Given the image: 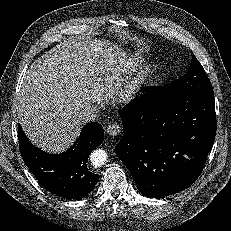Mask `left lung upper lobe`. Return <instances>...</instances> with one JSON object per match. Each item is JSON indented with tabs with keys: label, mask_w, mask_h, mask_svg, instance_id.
I'll list each match as a JSON object with an SVG mask.
<instances>
[{
	"label": "left lung upper lobe",
	"mask_w": 231,
	"mask_h": 231,
	"mask_svg": "<svg viewBox=\"0 0 231 231\" xmlns=\"http://www.w3.org/2000/svg\"><path fill=\"white\" fill-rule=\"evenodd\" d=\"M192 92H213L211 82L195 56L192 57L190 69L185 75L173 83L154 88L153 97L164 100Z\"/></svg>",
	"instance_id": "1"
}]
</instances>
